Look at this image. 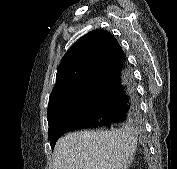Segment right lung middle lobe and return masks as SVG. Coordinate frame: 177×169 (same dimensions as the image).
<instances>
[{"mask_svg":"<svg viewBox=\"0 0 177 169\" xmlns=\"http://www.w3.org/2000/svg\"><path fill=\"white\" fill-rule=\"evenodd\" d=\"M92 97L91 83L85 82L75 88L74 92L48 106V139H50L57 126L66 118L81 112Z\"/></svg>","mask_w":177,"mask_h":169,"instance_id":"1","label":"right lung middle lobe"}]
</instances>
